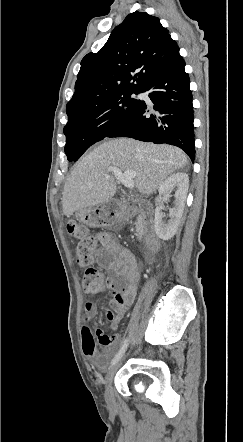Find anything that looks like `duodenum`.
<instances>
[{
    "label": "duodenum",
    "instance_id": "410a0bca",
    "mask_svg": "<svg viewBox=\"0 0 243 442\" xmlns=\"http://www.w3.org/2000/svg\"><path fill=\"white\" fill-rule=\"evenodd\" d=\"M123 207L131 211H138L140 213L139 223L143 233L144 240L150 249L156 245L157 237L154 230L153 221L149 216V206L144 203L136 202L133 199H125Z\"/></svg>",
    "mask_w": 243,
    "mask_h": 442
}]
</instances>
